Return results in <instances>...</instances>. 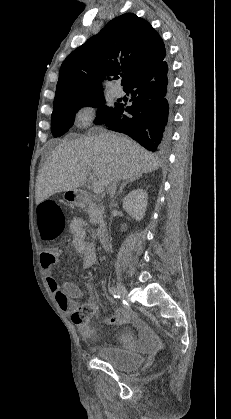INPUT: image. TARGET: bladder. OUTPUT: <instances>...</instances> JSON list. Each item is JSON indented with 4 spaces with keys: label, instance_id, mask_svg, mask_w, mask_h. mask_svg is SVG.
I'll return each mask as SVG.
<instances>
[{
    "label": "bladder",
    "instance_id": "bladder-1",
    "mask_svg": "<svg viewBox=\"0 0 231 419\" xmlns=\"http://www.w3.org/2000/svg\"><path fill=\"white\" fill-rule=\"evenodd\" d=\"M96 357L120 371L137 369L143 365L145 360L142 354L128 352L112 345L99 347Z\"/></svg>",
    "mask_w": 231,
    "mask_h": 419
}]
</instances>
